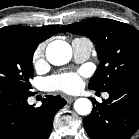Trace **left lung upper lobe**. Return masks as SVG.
I'll use <instances>...</instances> for the list:
<instances>
[{"label": "left lung upper lobe", "mask_w": 139, "mask_h": 139, "mask_svg": "<svg viewBox=\"0 0 139 139\" xmlns=\"http://www.w3.org/2000/svg\"><path fill=\"white\" fill-rule=\"evenodd\" d=\"M65 31L89 37L101 61L89 88L109 91L122 81L139 75V31L111 19L89 18L63 26Z\"/></svg>", "instance_id": "1"}]
</instances>
